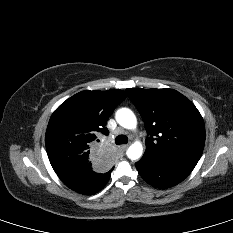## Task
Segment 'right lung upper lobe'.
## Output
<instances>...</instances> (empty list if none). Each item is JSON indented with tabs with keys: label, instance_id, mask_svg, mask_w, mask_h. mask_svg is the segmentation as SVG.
Returning a JSON list of instances; mask_svg holds the SVG:
<instances>
[{
	"label": "right lung upper lobe",
	"instance_id": "cb5924a9",
	"mask_svg": "<svg viewBox=\"0 0 233 233\" xmlns=\"http://www.w3.org/2000/svg\"><path fill=\"white\" fill-rule=\"evenodd\" d=\"M127 94L122 90H85L63 102L52 114L45 135L49 161L58 173L93 168L104 172L114 162L105 147L106 122Z\"/></svg>",
	"mask_w": 233,
	"mask_h": 233
}]
</instances>
